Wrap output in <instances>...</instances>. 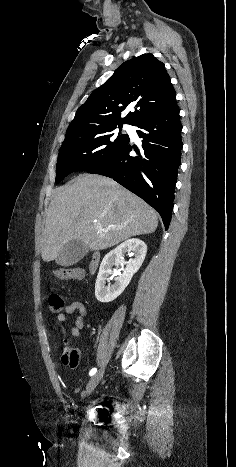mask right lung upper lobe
Returning <instances> with one entry per match:
<instances>
[{"label":"right lung upper lobe","instance_id":"right-lung-upper-lobe-1","mask_svg":"<svg viewBox=\"0 0 236 467\" xmlns=\"http://www.w3.org/2000/svg\"><path fill=\"white\" fill-rule=\"evenodd\" d=\"M176 100V92L164 64L152 54L124 62L79 107L66 136L123 123L135 126ZM135 112L121 118L129 105Z\"/></svg>","mask_w":236,"mask_h":467}]
</instances>
